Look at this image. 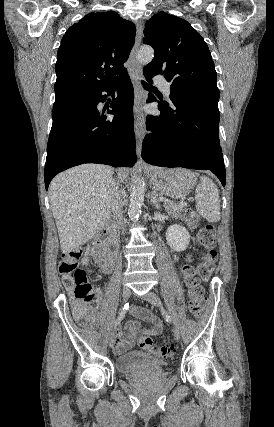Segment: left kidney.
Wrapping results in <instances>:
<instances>
[{"mask_svg":"<svg viewBox=\"0 0 274 427\" xmlns=\"http://www.w3.org/2000/svg\"><path fill=\"white\" fill-rule=\"evenodd\" d=\"M166 239L168 245H170L174 251H183V249H186L189 245V231H187L186 227H183V225L174 223V225H169L166 231Z\"/></svg>","mask_w":274,"mask_h":427,"instance_id":"obj_1","label":"left kidney"}]
</instances>
